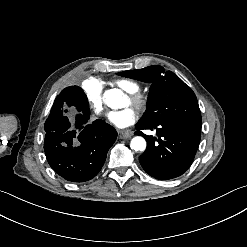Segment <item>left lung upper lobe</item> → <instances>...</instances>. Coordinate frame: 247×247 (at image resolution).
Masks as SVG:
<instances>
[{"mask_svg":"<svg viewBox=\"0 0 247 247\" xmlns=\"http://www.w3.org/2000/svg\"><path fill=\"white\" fill-rule=\"evenodd\" d=\"M118 75L151 83L147 110L137 124L149 126L182 121L201 127V113L194 92L173 72L152 65Z\"/></svg>","mask_w":247,"mask_h":247,"instance_id":"1","label":"left lung upper lobe"}]
</instances>
